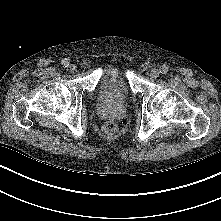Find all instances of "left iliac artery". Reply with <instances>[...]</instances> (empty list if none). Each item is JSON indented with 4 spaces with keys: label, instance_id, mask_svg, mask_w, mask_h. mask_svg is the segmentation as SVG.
Listing matches in <instances>:
<instances>
[{
    "label": "left iliac artery",
    "instance_id": "obj_1",
    "mask_svg": "<svg viewBox=\"0 0 221 221\" xmlns=\"http://www.w3.org/2000/svg\"><path fill=\"white\" fill-rule=\"evenodd\" d=\"M159 70H160L161 74H166L168 72V67L163 65V66L160 67Z\"/></svg>",
    "mask_w": 221,
    "mask_h": 221
}]
</instances>
